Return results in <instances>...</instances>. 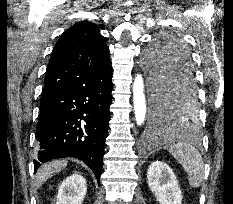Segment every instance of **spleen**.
Masks as SVG:
<instances>
[{
  "instance_id": "spleen-1",
  "label": "spleen",
  "mask_w": 233,
  "mask_h": 204,
  "mask_svg": "<svg viewBox=\"0 0 233 204\" xmlns=\"http://www.w3.org/2000/svg\"><path fill=\"white\" fill-rule=\"evenodd\" d=\"M169 153L186 171L189 185L199 188L205 179L204 163L199 151L189 143L178 142L170 146Z\"/></svg>"
}]
</instances>
